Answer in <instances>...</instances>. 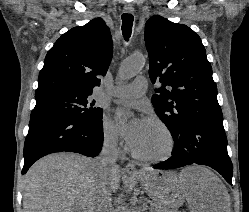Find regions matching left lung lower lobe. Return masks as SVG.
<instances>
[{
    "label": "left lung lower lobe",
    "instance_id": "obj_1",
    "mask_svg": "<svg viewBox=\"0 0 249 212\" xmlns=\"http://www.w3.org/2000/svg\"><path fill=\"white\" fill-rule=\"evenodd\" d=\"M174 139L172 157L153 168L173 169L190 164L209 166L232 184L233 166L227 152L223 120H199L183 123Z\"/></svg>",
    "mask_w": 249,
    "mask_h": 212
}]
</instances>
